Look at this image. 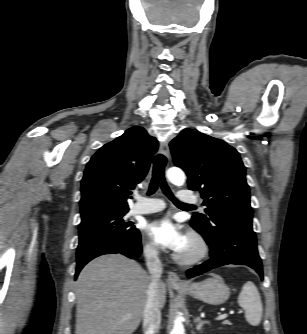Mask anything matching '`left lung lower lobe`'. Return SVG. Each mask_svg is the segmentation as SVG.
Returning <instances> with one entry per match:
<instances>
[{
	"label": "left lung lower lobe",
	"mask_w": 307,
	"mask_h": 334,
	"mask_svg": "<svg viewBox=\"0 0 307 334\" xmlns=\"http://www.w3.org/2000/svg\"><path fill=\"white\" fill-rule=\"evenodd\" d=\"M210 246L211 259L187 272L189 278L201 275L219 266L247 265L256 270L263 279L261 259L257 251L256 235L252 222L225 218L213 223L208 231H202L192 224Z\"/></svg>",
	"instance_id": "0a47b994"
}]
</instances>
